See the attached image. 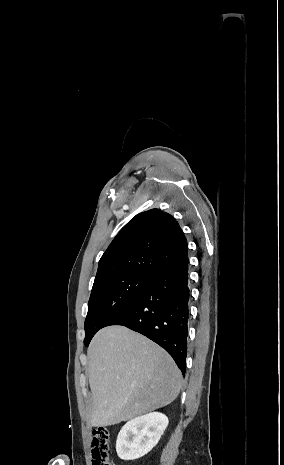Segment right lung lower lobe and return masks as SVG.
<instances>
[{"label": "right lung lower lobe", "mask_w": 284, "mask_h": 465, "mask_svg": "<svg viewBox=\"0 0 284 465\" xmlns=\"http://www.w3.org/2000/svg\"><path fill=\"white\" fill-rule=\"evenodd\" d=\"M188 264L187 256L155 276L105 324L126 326L156 342L172 356L183 374L190 299Z\"/></svg>", "instance_id": "obj_1"}]
</instances>
